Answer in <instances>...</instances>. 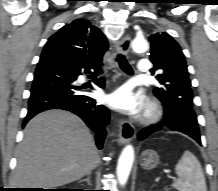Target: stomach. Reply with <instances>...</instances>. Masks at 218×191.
<instances>
[{"label": "stomach", "mask_w": 218, "mask_h": 191, "mask_svg": "<svg viewBox=\"0 0 218 191\" xmlns=\"http://www.w3.org/2000/svg\"><path fill=\"white\" fill-rule=\"evenodd\" d=\"M160 162L158 153L154 150L147 149L140 156V165L145 170H152L157 167Z\"/></svg>", "instance_id": "0dacf381"}]
</instances>
